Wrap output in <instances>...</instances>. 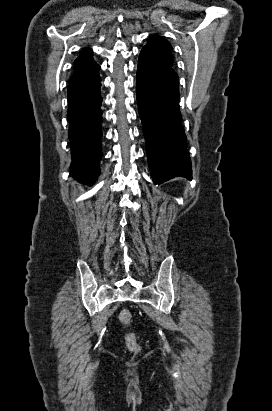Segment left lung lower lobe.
I'll return each mask as SVG.
<instances>
[{"instance_id": "left-lung-lower-lobe-1", "label": "left lung lower lobe", "mask_w": 272, "mask_h": 411, "mask_svg": "<svg viewBox=\"0 0 272 411\" xmlns=\"http://www.w3.org/2000/svg\"><path fill=\"white\" fill-rule=\"evenodd\" d=\"M136 95L153 182L160 184L177 176L191 179L178 76L171 66L145 49L139 55Z\"/></svg>"}]
</instances>
